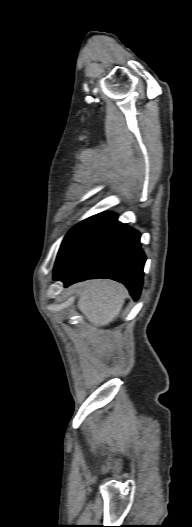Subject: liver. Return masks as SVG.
I'll use <instances>...</instances> for the list:
<instances>
[{"label":"liver","instance_id":"1","mask_svg":"<svg viewBox=\"0 0 192 527\" xmlns=\"http://www.w3.org/2000/svg\"><path fill=\"white\" fill-rule=\"evenodd\" d=\"M78 296V308L95 326H106L119 316L127 293L126 288L112 280H91L70 288Z\"/></svg>","mask_w":192,"mask_h":527}]
</instances>
